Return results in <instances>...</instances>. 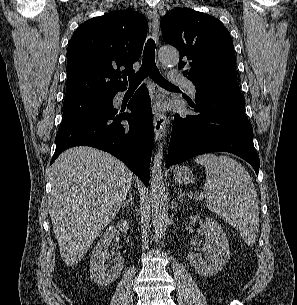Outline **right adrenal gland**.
I'll return each mask as SVG.
<instances>
[{
	"mask_svg": "<svg viewBox=\"0 0 297 305\" xmlns=\"http://www.w3.org/2000/svg\"><path fill=\"white\" fill-rule=\"evenodd\" d=\"M129 204H131L132 207L135 206V203H134L133 198H132L131 190L129 191V195H128V198H127L126 202H124V204L122 205V209H124Z\"/></svg>",
	"mask_w": 297,
	"mask_h": 305,
	"instance_id": "obj_1",
	"label": "right adrenal gland"
}]
</instances>
